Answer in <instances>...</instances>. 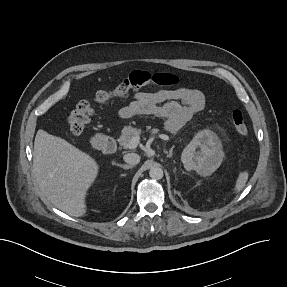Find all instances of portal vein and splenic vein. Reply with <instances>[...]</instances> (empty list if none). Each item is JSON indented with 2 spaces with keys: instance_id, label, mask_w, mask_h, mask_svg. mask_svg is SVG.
Wrapping results in <instances>:
<instances>
[{
  "instance_id": "18ae733b",
  "label": "portal vein and splenic vein",
  "mask_w": 287,
  "mask_h": 287,
  "mask_svg": "<svg viewBox=\"0 0 287 287\" xmlns=\"http://www.w3.org/2000/svg\"><path fill=\"white\" fill-rule=\"evenodd\" d=\"M158 137L165 141L169 140V136L165 134H159ZM139 142H140V136H133L126 147L129 149H135L139 144Z\"/></svg>"
}]
</instances>
